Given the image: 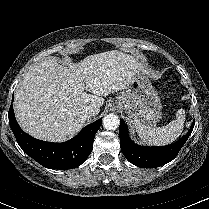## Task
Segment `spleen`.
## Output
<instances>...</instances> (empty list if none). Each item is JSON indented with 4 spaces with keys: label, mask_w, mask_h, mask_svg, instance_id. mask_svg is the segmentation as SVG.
Wrapping results in <instances>:
<instances>
[{
    "label": "spleen",
    "mask_w": 209,
    "mask_h": 209,
    "mask_svg": "<svg viewBox=\"0 0 209 209\" xmlns=\"http://www.w3.org/2000/svg\"><path fill=\"white\" fill-rule=\"evenodd\" d=\"M185 122V110L179 109L176 119L163 127H150L134 121L136 132L144 143L150 145H166L175 141L182 133Z\"/></svg>",
    "instance_id": "3e777b00"
}]
</instances>
